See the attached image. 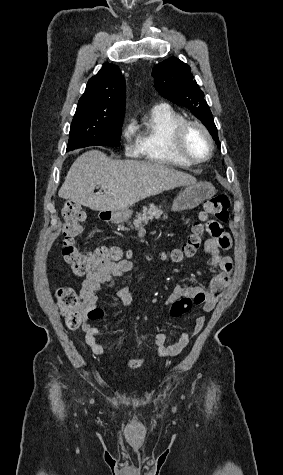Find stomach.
<instances>
[{"label": "stomach", "instance_id": "stomach-1", "mask_svg": "<svg viewBox=\"0 0 283 475\" xmlns=\"http://www.w3.org/2000/svg\"><path fill=\"white\" fill-rule=\"evenodd\" d=\"M216 190L210 182H197V184H191L188 188H185L183 192H180L179 196L175 198L172 206L173 212H181V210H192L199 204H202L204 200H209L212 196H215ZM132 216V210L124 208V210H117L112 214V222L115 224H122L127 222Z\"/></svg>", "mask_w": 283, "mask_h": 475}]
</instances>
